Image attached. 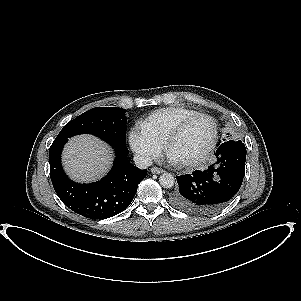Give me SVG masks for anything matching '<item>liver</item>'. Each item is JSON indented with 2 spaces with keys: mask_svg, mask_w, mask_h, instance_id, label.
<instances>
[{
  "mask_svg": "<svg viewBox=\"0 0 301 301\" xmlns=\"http://www.w3.org/2000/svg\"><path fill=\"white\" fill-rule=\"evenodd\" d=\"M63 165L74 180L90 182L101 178L111 166V148L92 135L71 138L64 148Z\"/></svg>",
  "mask_w": 301,
  "mask_h": 301,
  "instance_id": "6515ba94",
  "label": "liver"
}]
</instances>
